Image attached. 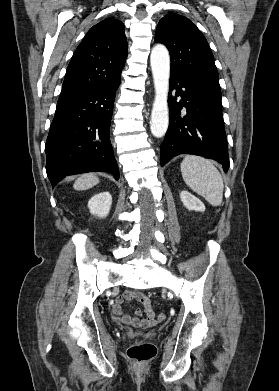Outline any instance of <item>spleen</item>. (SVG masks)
Returning a JSON list of instances; mask_svg holds the SVG:
<instances>
[{
    "label": "spleen",
    "mask_w": 279,
    "mask_h": 391,
    "mask_svg": "<svg viewBox=\"0 0 279 391\" xmlns=\"http://www.w3.org/2000/svg\"><path fill=\"white\" fill-rule=\"evenodd\" d=\"M181 173L185 183L212 206L222 203L223 179L212 161L199 156H186L181 163Z\"/></svg>",
    "instance_id": "obj_1"
}]
</instances>
